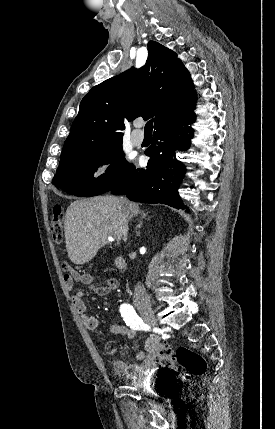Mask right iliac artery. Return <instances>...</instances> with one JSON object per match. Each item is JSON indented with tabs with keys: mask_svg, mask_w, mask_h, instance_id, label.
Instances as JSON below:
<instances>
[{
	"mask_svg": "<svg viewBox=\"0 0 275 429\" xmlns=\"http://www.w3.org/2000/svg\"><path fill=\"white\" fill-rule=\"evenodd\" d=\"M120 313L125 323L134 330L144 328L143 320L137 315L136 311L130 304H122L120 306Z\"/></svg>",
	"mask_w": 275,
	"mask_h": 429,
	"instance_id": "obj_1",
	"label": "right iliac artery"
}]
</instances>
